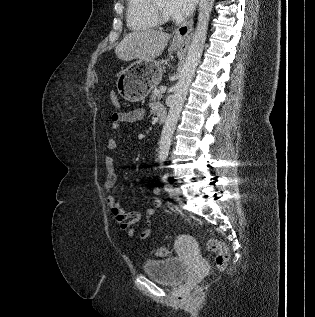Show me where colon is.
<instances>
[{
    "label": "colon",
    "instance_id": "1",
    "mask_svg": "<svg viewBox=\"0 0 315 317\" xmlns=\"http://www.w3.org/2000/svg\"><path fill=\"white\" fill-rule=\"evenodd\" d=\"M112 103L114 106H119V101L115 94L112 95ZM208 248L215 253V264L217 268L224 269L229 261L230 252L228 247L217 239L208 241ZM154 254L159 257H165L169 254V249L166 246H159L154 250Z\"/></svg>",
    "mask_w": 315,
    "mask_h": 317
}]
</instances>
